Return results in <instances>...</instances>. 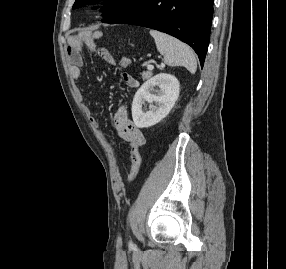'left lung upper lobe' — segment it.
Here are the masks:
<instances>
[{"mask_svg":"<svg viewBox=\"0 0 286 269\" xmlns=\"http://www.w3.org/2000/svg\"><path fill=\"white\" fill-rule=\"evenodd\" d=\"M101 0H76L73 9L80 8L87 3L98 2ZM114 1L112 6H105L102 22L114 24L122 18L130 15L139 9L146 0H105Z\"/></svg>","mask_w":286,"mask_h":269,"instance_id":"obj_1","label":"left lung upper lobe"}]
</instances>
